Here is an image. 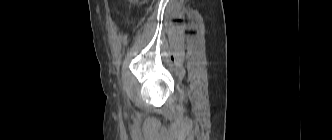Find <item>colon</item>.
<instances>
[{
  "mask_svg": "<svg viewBox=\"0 0 332 140\" xmlns=\"http://www.w3.org/2000/svg\"><path fill=\"white\" fill-rule=\"evenodd\" d=\"M131 2H137L138 0H130Z\"/></svg>",
  "mask_w": 332,
  "mask_h": 140,
  "instance_id": "1",
  "label": "colon"
}]
</instances>
